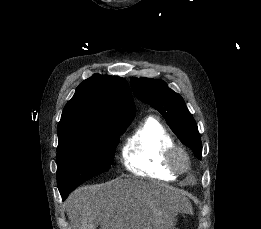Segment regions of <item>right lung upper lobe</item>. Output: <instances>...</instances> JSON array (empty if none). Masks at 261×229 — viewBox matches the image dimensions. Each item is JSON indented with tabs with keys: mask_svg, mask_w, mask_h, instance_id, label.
<instances>
[{
	"mask_svg": "<svg viewBox=\"0 0 261 229\" xmlns=\"http://www.w3.org/2000/svg\"><path fill=\"white\" fill-rule=\"evenodd\" d=\"M135 105L127 81L94 74L76 89L58 123V145L96 134L100 127L130 124Z\"/></svg>",
	"mask_w": 261,
	"mask_h": 229,
	"instance_id": "obj_1",
	"label": "right lung upper lobe"
}]
</instances>
